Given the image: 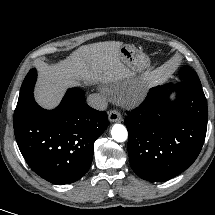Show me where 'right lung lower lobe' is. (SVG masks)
I'll use <instances>...</instances> for the list:
<instances>
[{
  "label": "right lung lower lobe",
  "instance_id": "right-lung-lower-lobe-1",
  "mask_svg": "<svg viewBox=\"0 0 215 215\" xmlns=\"http://www.w3.org/2000/svg\"><path fill=\"white\" fill-rule=\"evenodd\" d=\"M107 126L106 112L88 106L83 90L68 89L53 110L41 108L34 100L14 133L36 174L54 184H68L88 171L94 142Z\"/></svg>",
  "mask_w": 215,
  "mask_h": 215
}]
</instances>
